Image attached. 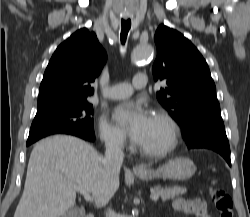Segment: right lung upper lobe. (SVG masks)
Wrapping results in <instances>:
<instances>
[{"mask_svg":"<svg viewBox=\"0 0 250 217\" xmlns=\"http://www.w3.org/2000/svg\"><path fill=\"white\" fill-rule=\"evenodd\" d=\"M106 52L94 32L83 28L56 49L40 85L37 110L87 100L90 83L100 74Z\"/></svg>","mask_w":250,"mask_h":217,"instance_id":"right-lung-upper-lobe-1","label":"right lung upper lobe"}]
</instances>
